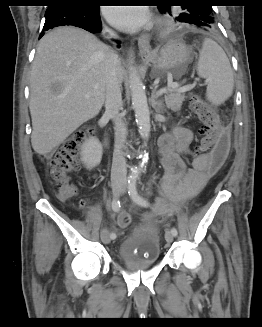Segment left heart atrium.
I'll use <instances>...</instances> for the list:
<instances>
[{"mask_svg": "<svg viewBox=\"0 0 262 327\" xmlns=\"http://www.w3.org/2000/svg\"><path fill=\"white\" fill-rule=\"evenodd\" d=\"M104 15L113 26L123 31L138 30L149 21L147 9L138 5H131L130 7L109 6L105 8Z\"/></svg>", "mask_w": 262, "mask_h": 327, "instance_id": "1", "label": "left heart atrium"}]
</instances>
